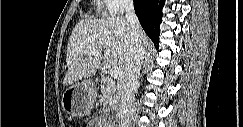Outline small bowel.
Instances as JSON below:
<instances>
[{
	"mask_svg": "<svg viewBox=\"0 0 243 127\" xmlns=\"http://www.w3.org/2000/svg\"><path fill=\"white\" fill-rule=\"evenodd\" d=\"M89 127H100V124L96 120H92L89 122Z\"/></svg>",
	"mask_w": 243,
	"mask_h": 127,
	"instance_id": "obj_1",
	"label": "small bowel"
}]
</instances>
